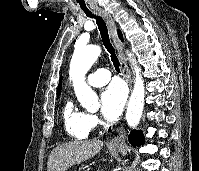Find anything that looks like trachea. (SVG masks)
Wrapping results in <instances>:
<instances>
[{
  "label": "trachea",
  "mask_w": 199,
  "mask_h": 171,
  "mask_svg": "<svg viewBox=\"0 0 199 171\" xmlns=\"http://www.w3.org/2000/svg\"><path fill=\"white\" fill-rule=\"evenodd\" d=\"M85 14H86V16H88L90 18H94L96 20V23L98 25V29H99L100 34H101L103 45L105 46L106 50L110 54L111 61L113 62L115 70L120 73V63H119V61L116 57V54H115V51H114L112 45H111L106 22L99 15H94L91 12H85Z\"/></svg>",
  "instance_id": "trachea-1"
}]
</instances>
